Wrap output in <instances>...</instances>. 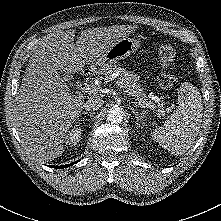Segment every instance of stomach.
<instances>
[{
    "instance_id": "1",
    "label": "stomach",
    "mask_w": 221,
    "mask_h": 221,
    "mask_svg": "<svg viewBox=\"0 0 221 221\" xmlns=\"http://www.w3.org/2000/svg\"><path fill=\"white\" fill-rule=\"evenodd\" d=\"M140 47L139 41L134 38H122L118 40L109 50L101 57L95 60L90 68L96 73H107L118 61L132 55Z\"/></svg>"
}]
</instances>
